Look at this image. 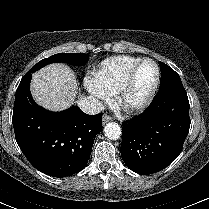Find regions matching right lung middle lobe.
Returning <instances> with one entry per match:
<instances>
[{"label": "right lung middle lobe", "instance_id": "dd1d6c3e", "mask_svg": "<svg viewBox=\"0 0 209 209\" xmlns=\"http://www.w3.org/2000/svg\"><path fill=\"white\" fill-rule=\"evenodd\" d=\"M89 56L82 53H60L39 61L26 74L33 73L50 63L63 62L71 65H81L88 61Z\"/></svg>", "mask_w": 209, "mask_h": 209}]
</instances>
